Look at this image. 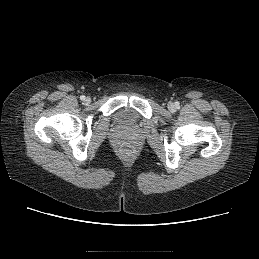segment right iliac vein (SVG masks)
I'll use <instances>...</instances> for the list:
<instances>
[{"label":"right iliac vein","instance_id":"63e3f726","mask_svg":"<svg viewBox=\"0 0 259 259\" xmlns=\"http://www.w3.org/2000/svg\"><path fill=\"white\" fill-rule=\"evenodd\" d=\"M90 102H91L90 98H86V99H85V103H86V104H89Z\"/></svg>","mask_w":259,"mask_h":259}]
</instances>
